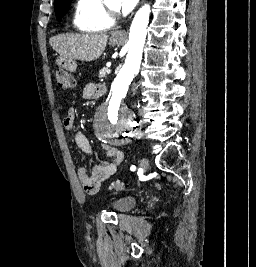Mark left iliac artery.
Masks as SVG:
<instances>
[{
  "label": "left iliac artery",
  "instance_id": "left-iliac-artery-1",
  "mask_svg": "<svg viewBox=\"0 0 256 267\" xmlns=\"http://www.w3.org/2000/svg\"><path fill=\"white\" fill-rule=\"evenodd\" d=\"M131 171H135L136 167L134 165L131 166Z\"/></svg>",
  "mask_w": 256,
  "mask_h": 267
}]
</instances>
